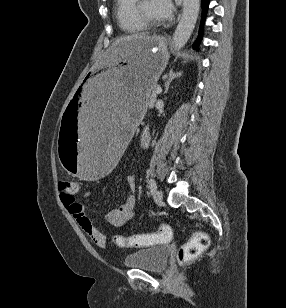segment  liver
Here are the masks:
<instances>
[{
    "label": "liver",
    "mask_w": 286,
    "mask_h": 308,
    "mask_svg": "<svg viewBox=\"0 0 286 308\" xmlns=\"http://www.w3.org/2000/svg\"><path fill=\"white\" fill-rule=\"evenodd\" d=\"M145 36H146L145 33H138V34H133V35H129V36H126V37L119 38L112 43L109 51H111L116 45L122 43L123 41H128V40H131V39H136V38L145 37Z\"/></svg>",
    "instance_id": "6515ba94"
}]
</instances>
